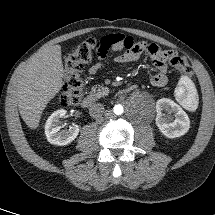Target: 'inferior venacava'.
Listing matches in <instances>:
<instances>
[{
	"mask_svg": "<svg viewBox=\"0 0 215 215\" xmlns=\"http://www.w3.org/2000/svg\"><path fill=\"white\" fill-rule=\"evenodd\" d=\"M90 116L93 118H99L104 114V105L101 103H94L89 108Z\"/></svg>",
	"mask_w": 215,
	"mask_h": 215,
	"instance_id": "inferior-vena-cava-1",
	"label": "inferior vena cava"
}]
</instances>
